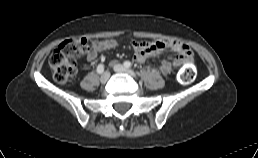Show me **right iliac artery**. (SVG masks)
<instances>
[{
	"mask_svg": "<svg viewBox=\"0 0 258 158\" xmlns=\"http://www.w3.org/2000/svg\"><path fill=\"white\" fill-rule=\"evenodd\" d=\"M103 71H104V65L99 64V65L97 66V72H98L99 74H101V73H103Z\"/></svg>",
	"mask_w": 258,
	"mask_h": 158,
	"instance_id": "obj_1",
	"label": "right iliac artery"
}]
</instances>
